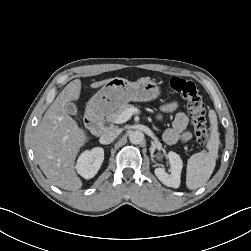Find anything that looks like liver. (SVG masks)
<instances>
[{
    "instance_id": "6515ba94",
    "label": "liver",
    "mask_w": 251,
    "mask_h": 251,
    "mask_svg": "<svg viewBox=\"0 0 251 251\" xmlns=\"http://www.w3.org/2000/svg\"><path fill=\"white\" fill-rule=\"evenodd\" d=\"M109 80L94 82L90 87H101ZM80 94L79 79L67 84L45 112L34 135L33 149L40 169L52 184L68 191L82 187L75 171V159L80 148L89 140L84 129L66 110V105L77 101Z\"/></svg>"
}]
</instances>
